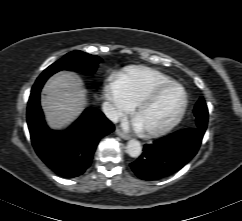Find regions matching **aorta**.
<instances>
[{"label":"aorta","mask_w":242,"mask_h":221,"mask_svg":"<svg viewBox=\"0 0 242 221\" xmlns=\"http://www.w3.org/2000/svg\"><path fill=\"white\" fill-rule=\"evenodd\" d=\"M127 153L133 158H137L142 153V146L138 140L131 139L127 143Z\"/></svg>","instance_id":"1"}]
</instances>
